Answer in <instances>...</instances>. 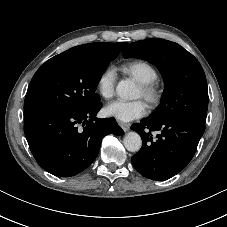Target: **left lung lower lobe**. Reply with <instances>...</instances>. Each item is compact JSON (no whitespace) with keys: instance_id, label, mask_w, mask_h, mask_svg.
<instances>
[{"instance_id":"obj_1","label":"left lung lower lobe","mask_w":227,"mask_h":227,"mask_svg":"<svg viewBox=\"0 0 227 227\" xmlns=\"http://www.w3.org/2000/svg\"><path fill=\"white\" fill-rule=\"evenodd\" d=\"M131 129L143 140L139 152L131 157L134 168L152 180H166L183 170L193 158L205 125L187 118H150L134 123ZM152 131H159L156 138Z\"/></svg>"}]
</instances>
